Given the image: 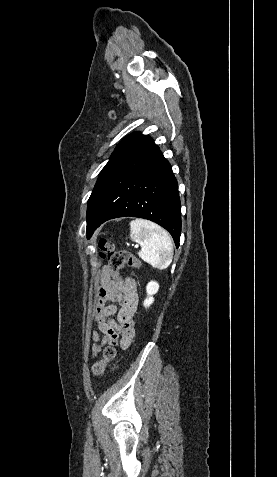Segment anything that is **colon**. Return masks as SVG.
I'll return each instance as SVG.
<instances>
[{
	"instance_id": "colon-1",
	"label": "colon",
	"mask_w": 277,
	"mask_h": 477,
	"mask_svg": "<svg viewBox=\"0 0 277 477\" xmlns=\"http://www.w3.org/2000/svg\"><path fill=\"white\" fill-rule=\"evenodd\" d=\"M99 246L101 249V256L107 260L109 272L114 279L121 278L120 271L126 266L132 268L140 267V261L136 257L127 251L115 249V247L108 240L101 239ZM115 357V348L107 347L104 350L103 359L97 361L93 365V374L96 376L102 374L106 368V365L114 360Z\"/></svg>"
}]
</instances>
